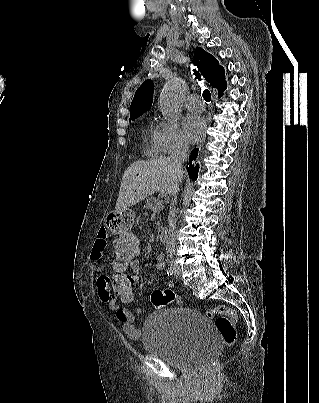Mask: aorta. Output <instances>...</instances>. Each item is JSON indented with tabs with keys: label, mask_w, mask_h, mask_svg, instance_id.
<instances>
[{
	"label": "aorta",
	"mask_w": 319,
	"mask_h": 403,
	"mask_svg": "<svg viewBox=\"0 0 319 403\" xmlns=\"http://www.w3.org/2000/svg\"><path fill=\"white\" fill-rule=\"evenodd\" d=\"M185 90L182 79L168 81L160 95L159 106L164 118L175 122L181 117V103Z\"/></svg>",
	"instance_id": "762f6f07"
}]
</instances>
